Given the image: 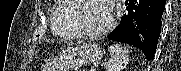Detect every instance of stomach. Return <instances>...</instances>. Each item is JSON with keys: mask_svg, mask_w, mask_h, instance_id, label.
I'll use <instances>...</instances> for the list:
<instances>
[{"mask_svg": "<svg viewBox=\"0 0 181 71\" xmlns=\"http://www.w3.org/2000/svg\"><path fill=\"white\" fill-rule=\"evenodd\" d=\"M103 54V49L96 44L78 45L61 52L58 57L47 63L46 69H50L49 71H69L83 65L99 62Z\"/></svg>", "mask_w": 181, "mask_h": 71, "instance_id": "obj_1", "label": "stomach"}]
</instances>
